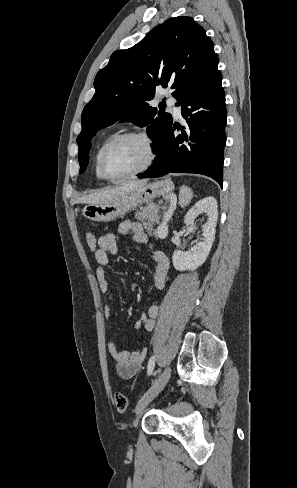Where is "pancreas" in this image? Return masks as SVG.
I'll list each match as a JSON object with an SVG mask.
<instances>
[{
  "instance_id": "obj_1",
  "label": "pancreas",
  "mask_w": 297,
  "mask_h": 488,
  "mask_svg": "<svg viewBox=\"0 0 297 488\" xmlns=\"http://www.w3.org/2000/svg\"><path fill=\"white\" fill-rule=\"evenodd\" d=\"M135 218L138 221L143 222V225L148 228L151 227L155 222H158L160 216L158 214V209L154 205H148L144 208H141L140 211H137L135 214Z\"/></svg>"
}]
</instances>
